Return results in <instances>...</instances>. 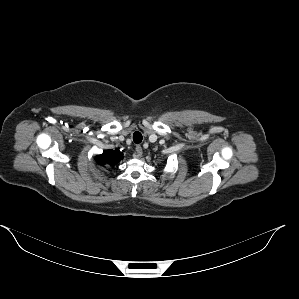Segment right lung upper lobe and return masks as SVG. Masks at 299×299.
I'll return each mask as SVG.
<instances>
[{
	"mask_svg": "<svg viewBox=\"0 0 299 299\" xmlns=\"http://www.w3.org/2000/svg\"><path fill=\"white\" fill-rule=\"evenodd\" d=\"M123 158L122 152L119 150H106L101 155L96 156V161L100 165H114Z\"/></svg>",
	"mask_w": 299,
	"mask_h": 299,
	"instance_id": "1",
	"label": "right lung upper lobe"
}]
</instances>
